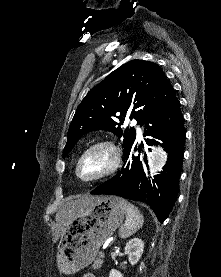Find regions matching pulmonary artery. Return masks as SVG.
I'll return each instance as SVG.
<instances>
[{"label":"pulmonary artery","instance_id":"e3ab8cb5","mask_svg":"<svg viewBox=\"0 0 221 277\" xmlns=\"http://www.w3.org/2000/svg\"><path fill=\"white\" fill-rule=\"evenodd\" d=\"M137 132H138V134L141 133V129L139 127H137Z\"/></svg>","mask_w":221,"mask_h":277}]
</instances>
